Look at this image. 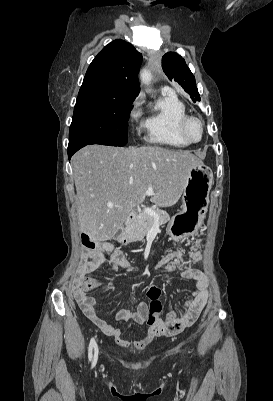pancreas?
Here are the masks:
<instances>
[{"instance_id": "pancreas-1", "label": "pancreas", "mask_w": 273, "mask_h": 401, "mask_svg": "<svg viewBox=\"0 0 273 401\" xmlns=\"http://www.w3.org/2000/svg\"><path fill=\"white\" fill-rule=\"evenodd\" d=\"M156 215H158V225H165L170 221V217L166 211H161V209H154ZM154 217L147 215V213H139L137 219L133 223H126V239L129 243H134V241H142L148 231L152 229L154 225Z\"/></svg>"}]
</instances>
